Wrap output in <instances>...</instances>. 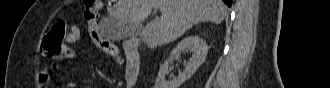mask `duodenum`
Wrapping results in <instances>:
<instances>
[{"label": "duodenum", "mask_w": 330, "mask_h": 88, "mask_svg": "<svg viewBox=\"0 0 330 88\" xmlns=\"http://www.w3.org/2000/svg\"><path fill=\"white\" fill-rule=\"evenodd\" d=\"M125 51L128 56V67L126 71V78L129 82L135 83L139 77V43L137 40H131L125 43ZM134 78L130 81V78Z\"/></svg>", "instance_id": "1"}]
</instances>
